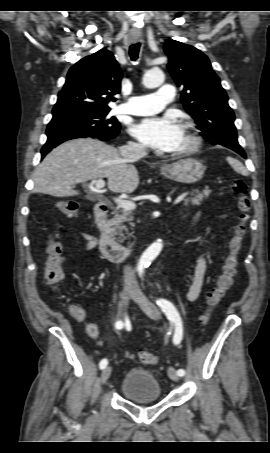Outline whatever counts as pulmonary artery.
Masks as SVG:
<instances>
[{
    "instance_id": "1",
    "label": "pulmonary artery",
    "mask_w": 270,
    "mask_h": 453,
    "mask_svg": "<svg viewBox=\"0 0 270 453\" xmlns=\"http://www.w3.org/2000/svg\"><path fill=\"white\" fill-rule=\"evenodd\" d=\"M174 88L171 85H163L156 93L132 96L118 109L131 115H150L161 111L164 106L174 98Z\"/></svg>"
}]
</instances>
